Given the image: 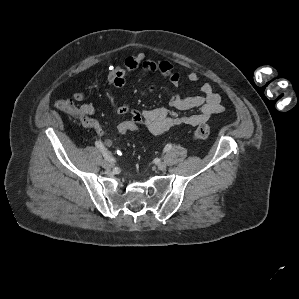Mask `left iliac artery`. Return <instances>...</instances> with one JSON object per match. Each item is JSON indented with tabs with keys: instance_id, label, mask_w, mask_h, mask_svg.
Wrapping results in <instances>:
<instances>
[{
	"instance_id": "obj_1",
	"label": "left iliac artery",
	"mask_w": 299,
	"mask_h": 299,
	"mask_svg": "<svg viewBox=\"0 0 299 299\" xmlns=\"http://www.w3.org/2000/svg\"><path fill=\"white\" fill-rule=\"evenodd\" d=\"M172 148V145L171 144H167L165 147H164V151L167 152L169 150H171Z\"/></svg>"
}]
</instances>
